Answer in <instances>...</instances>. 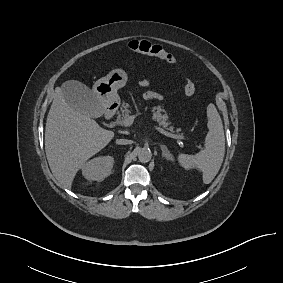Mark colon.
<instances>
[{
    "label": "colon",
    "instance_id": "colon-1",
    "mask_svg": "<svg viewBox=\"0 0 283 283\" xmlns=\"http://www.w3.org/2000/svg\"><path fill=\"white\" fill-rule=\"evenodd\" d=\"M127 48L135 53L145 54L159 58L169 64L176 63V59L171 53L167 52L160 45L154 44L145 39L132 40L127 44ZM183 90L187 96L191 97L196 92L195 84L190 79H186L183 86Z\"/></svg>",
    "mask_w": 283,
    "mask_h": 283
}]
</instances>
